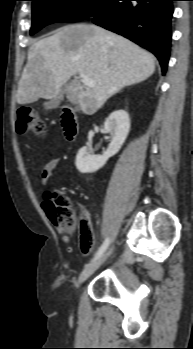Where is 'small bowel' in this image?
<instances>
[{"label": "small bowel", "mask_w": 193, "mask_h": 349, "mask_svg": "<svg viewBox=\"0 0 193 349\" xmlns=\"http://www.w3.org/2000/svg\"><path fill=\"white\" fill-rule=\"evenodd\" d=\"M58 163H59V158H52L45 163L42 169L43 184H47L50 182L51 178L53 177L54 171L58 166ZM49 196L50 194L45 192L44 197L48 198ZM82 216H83V222H82L83 224L81 229V249L84 254H89L92 248V237L89 232V215L85 209L82 210ZM62 238L65 243L70 242L69 235L63 234Z\"/></svg>", "instance_id": "c3829d8e"}]
</instances>
